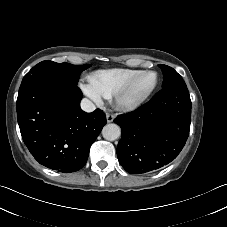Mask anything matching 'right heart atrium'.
<instances>
[{
  "mask_svg": "<svg viewBox=\"0 0 227 227\" xmlns=\"http://www.w3.org/2000/svg\"><path fill=\"white\" fill-rule=\"evenodd\" d=\"M84 92L95 102L97 103L102 102V96L95 89H93L91 85L85 86Z\"/></svg>",
  "mask_w": 227,
  "mask_h": 227,
  "instance_id": "right-heart-atrium-1",
  "label": "right heart atrium"
}]
</instances>
